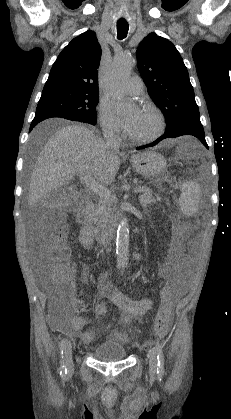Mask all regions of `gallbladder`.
Returning <instances> with one entry per match:
<instances>
[{
  "instance_id": "bac80fb5",
  "label": "gallbladder",
  "mask_w": 231,
  "mask_h": 419,
  "mask_svg": "<svg viewBox=\"0 0 231 419\" xmlns=\"http://www.w3.org/2000/svg\"><path fill=\"white\" fill-rule=\"evenodd\" d=\"M61 190H58L57 192H55V193H53V194H51V195H49L47 198H46V203L47 204H52V205H55L59 200H61L62 198H61Z\"/></svg>"
}]
</instances>
